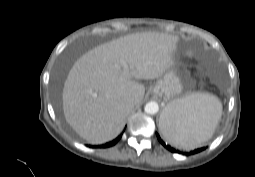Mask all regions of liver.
Segmentation results:
<instances>
[{
	"instance_id": "liver-1",
	"label": "liver",
	"mask_w": 255,
	"mask_h": 177,
	"mask_svg": "<svg viewBox=\"0 0 255 177\" xmlns=\"http://www.w3.org/2000/svg\"><path fill=\"white\" fill-rule=\"evenodd\" d=\"M177 43V36L165 33H135L82 55L64 83L66 121L90 144L116 138L132 108L144 97L145 87L136 80L156 79L168 71ZM130 98L133 107L127 104ZM165 121L167 114L162 116Z\"/></svg>"
}]
</instances>
